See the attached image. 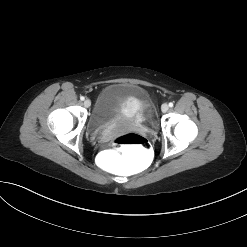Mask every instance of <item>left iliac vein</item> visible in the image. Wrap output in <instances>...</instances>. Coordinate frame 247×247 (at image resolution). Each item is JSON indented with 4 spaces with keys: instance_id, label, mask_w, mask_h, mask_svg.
Instances as JSON below:
<instances>
[{
    "instance_id": "4c4485c4",
    "label": "left iliac vein",
    "mask_w": 247,
    "mask_h": 247,
    "mask_svg": "<svg viewBox=\"0 0 247 247\" xmlns=\"http://www.w3.org/2000/svg\"><path fill=\"white\" fill-rule=\"evenodd\" d=\"M168 109H169L168 104H166V103L162 104V106H161V110H162V112H167V111H168Z\"/></svg>"
}]
</instances>
